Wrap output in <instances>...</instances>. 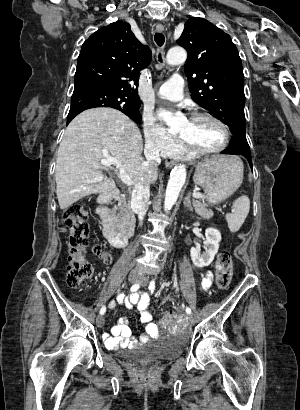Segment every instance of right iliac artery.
<instances>
[{"mask_svg":"<svg viewBox=\"0 0 300 410\" xmlns=\"http://www.w3.org/2000/svg\"><path fill=\"white\" fill-rule=\"evenodd\" d=\"M139 287H140V285H139L138 283H136V284L132 285L131 291H132V292H135V291H137V290L139 289ZM105 312H106V307L103 306V307L100 309V314L103 315Z\"/></svg>","mask_w":300,"mask_h":410,"instance_id":"right-iliac-artery-1","label":"right iliac artery"}]
</instances>
